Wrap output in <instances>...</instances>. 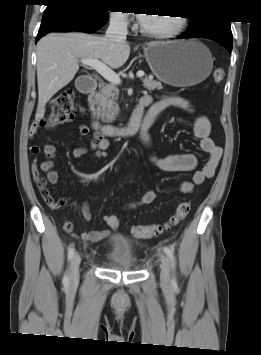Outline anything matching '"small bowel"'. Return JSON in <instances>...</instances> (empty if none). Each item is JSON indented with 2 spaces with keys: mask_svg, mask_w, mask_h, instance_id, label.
<instances>
[{
  "mask_svg": "<svg viewBox=\"0 0 261 355\" xmlns=\"http://www.w3.org/2000/svg\"><path fill=\"white\" fill-rule=\"evenodd\" d=\"M140 106L138 111L142 113L144 109L148 108L144 114V122L153 123L156 116L166 108H177L187 112H194L192 102L182 96L177 95H164L161 96L155 103H152V97L146 95L141 98L139 102ZM137 108V107H136ZM39 126L34 122L30 127V137H33ZM149 127H144L141 130V140L148 146L150 144V136L148 134ZM90 129L87 125L81 124L79 126V133L81 137H85L89 134ZM211 124L207 116L198 114L195 117L193 124V133L200 140L201 149L207 154L206 163L200 170H195L197 166V157L192 153L168 155L166 157H151V163L158 169L166 172L177 171H194L191 180L181 182L179 189L182 193L190 194L193 192L194 187L203 183L206 179L212 178L215 174V170L219 164L222 156V149L217 146L210 136ZM110 142L109 139L104 137L101 132H94L91 136L89 145L77 146L72 155L75 158H82L87 154L95 158L107 157L105 150L108 148ZM29 152L34 155L32 164V178L36 183L41 195L46 204L53 210L64 207L67 204V198H59L55 200L47 189V183L56 184L59 181L58 172L54 170V159L56 157V146L54 144H46L41 147L39 145H31ZM43 153L45 155L44 160H39L38 155ZM46 172V178L41 175V172ZM156 198V192L154 190H148L142 198L137 202H130L125 206V209H133L140 205L149 204ZM79 209L82 217L85 221L91 219L90 206L88 202H83ZM104 222L113 230L119 227V221L113 214H105L103 216ZM62 228L65 232L70 233L81 240L90 243H96L104 239L109 235V231H83L80 234L75 233L73 224L64 220L62 222Z\"/></svg>",
  "mask_w": 261,
  "mask_h": 355,
  "instance_id": "small-bowel-1",
  "label": "small bowel"
}]
</instances>
